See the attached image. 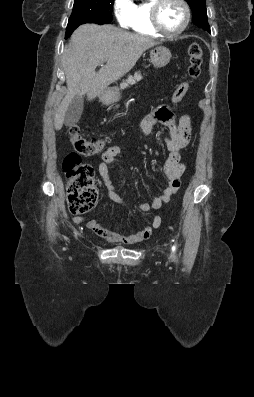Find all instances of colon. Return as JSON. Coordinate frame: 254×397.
<instances>
[{
	"label": "colon",
	"instance_id": "obj_1",
	"mask_svg": "<svg viewBox=\"0 0 254 397\" xmlns=\"http://www.w3.org/2000/svg\"><path fill=\"white\" fill-rule=\"evenodd\" d=\"M188 58V80L178 85L171 97L172 104L182 101L189 90L190 82L201 74L202 49L199 44L193 43L189 46ZM69 136L75 152L67 155L63 163L67 180V203L72 214L81 215L90 211L100 199L94 170L90 164L83 161L82 156L99 153L108 139H89L82 134L78 125L70 127Z\"/></svg>",
	"mask_w": 254,
	"mask_h": 397
}]
</instances>
